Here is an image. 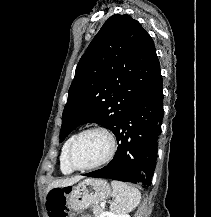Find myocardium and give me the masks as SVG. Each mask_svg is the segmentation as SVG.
I'll list each match as a JSON object with an SVG mask.
<instances>
[{
	"instance_id": "myocardium-1",
	"label": "myocardium",
	"mask_w": 211,
	"mask_h": 217,
	"mask_svg": "<svg viewBox=\"0 0 211 217\" xmlns=\"http://www.w3.org/2000/svg\"><path fill=\"white\" fill-rule=\"evenodd\" d=\"M89 132H101L104 135H106L108 140H109V143H110L109 152L105 156V158H103L101 161H99L95 164L88 165V166H78L73 161V150H74L77 142L80 140V138ZM116 149H117V144H116L115 137L109 130H107L104 127H100V126L88 127L86 129L82 130L81 132H79L72 140V142L68 148V152H67L68 164L70 165L71 168H73L74 170H78V171H86V170L96 169V168H99V167L104 166L107 163H109L113 159V157L116 153Z\"/></svg>"
}]
</instances>
